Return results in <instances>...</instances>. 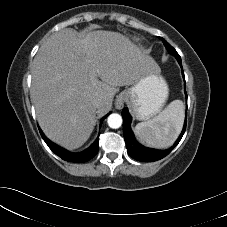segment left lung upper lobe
I'll list each match as a JSON object with an SVG mask.
<instances>
[{
  "label": "left lung upper lobe",
  "mask_w": 227,
  "mask_h": 227,
  "mask_svg": "<svg viewBox=\"0 0 227 227\" xmlns=\"http://www.w3.org/2000/svg\"><path fill=\"white\" fill-rule=\"evenodd\" d=\"M160 39L163 41L166 49L168 50V52L172 55H174L176 57V59L178 60V62H181V57L180 55L177 53V51L162 37H160Z\"/></svg>",
  "instance_id": "left-lung-upper-lobe-1"
}]
</instances>
